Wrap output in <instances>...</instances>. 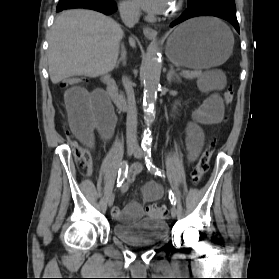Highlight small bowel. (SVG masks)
<instances>
[{
    "mask_svg": "<svg viewBox=\"0 0 279 279\" xmlns=\"http://www.w3.org/2000/svg\"><path fill=\"white\" fill-rule=\"evenodd\" d=\"M65 104L69 116L71 130L75 137L88 146L94 145L95 132L103 142L109 141L115 131L117 118L106 95L100 91H88L83 87L75 86L65 93ZM224 114L221 97L217 94L210 95L204 103L194 111L193 120L186 131V143L189 158L193 160L199 153L204 135L200 125L216 124ZM143 170L140 163H134L128 173V182H132ZM92 170L88 168L87 176ZM163 187L155 182L146 183L142 189V201L151 202L163 196ZM112 215L121 221L132 222L143 216L141 203L131 201L123 209L115 207Z\"/></svg>",
    "mask_w": 279,
    "mask_h": 279,
    "instance_id": "small-bowel-1",
    "label": "small bowel"
}]
</instances>
